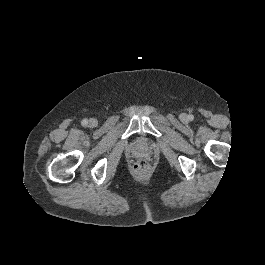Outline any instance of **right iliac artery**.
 Listing matches in <instances>:
<instances>
[{"mask_svg": "<svg viewBox=\"0 0 265 265\" xmlns=\"http://www.w3.org/2000/svg\"><path fill=\"white\" fill-rule=\"evenodd\" d=\"M81 123H82L83 126H86L88 124V120L87 119H83Z\"/></svg>", "mask_w": 265, "mask_h": 265, "instance_id": "obj_1", "label": "right iliac artery"}]
</instances>
